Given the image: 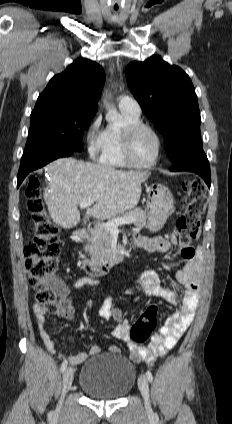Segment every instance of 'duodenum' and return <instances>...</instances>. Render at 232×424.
Returning <instances> with one entry per match:
<instances>
[{
	"label": "duodenum",
	"mask_w": 232,
	"mask_h": 424,
	"mask_svg": "<svg viewBox=\"0 0 232 424\" xmlns=\"http://www.w3.org/2000/svg\"><path fill=\"white\" fill-rule=\"evenodd\" d=\"M87 237L85 230L79 229L75 232V239L83 242ZM124 260L123 249L116 248L108 256L93 258L88 252L83 253L82 268L91 276H101L106 274L114 265Z\"/></svg>",
	"instance_id": "duodenum-1"
}]
</instances>
